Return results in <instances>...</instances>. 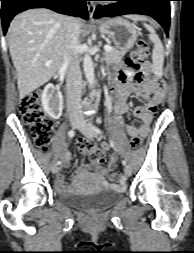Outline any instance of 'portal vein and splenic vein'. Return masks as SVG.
Instances as JSON below:
<instances>
[{
    "mask_svg": "<svg viewBox=\"0 0 194 253\" xmlns=\"http://www.w3.org/2000/svg\"><path fill=\"white\" fill-rule=\"evenodd\" d=\"M104 50L107 51V52H110L112 50V48L110 46H108V45H105L104 46ZM51 62H52L51 60L47 61L46 65H50Z\"/></svg>",
    "mask_w": 194,
    "mask_h": 253,
    "instance_id": "18ae733b",
    "label": "portal vein and splenic vein"
}]
</instances>
